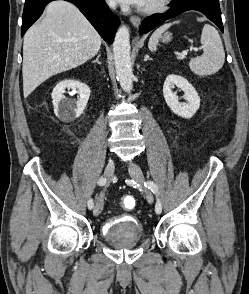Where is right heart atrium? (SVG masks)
<instances>
[{
  "label": "right heart atrium",
  "mask_w": 249,
  "mask_h": 294,
  "mask_svg": "<svg viewBox=\"0 0 249 294\" xmlns=\"http://www.w3.org/2000/svg\"><path fill=\"white\" fill-rule=\"evenodd\" d=\"M106 4H107L109 7H113V6H114V0H106Z\"/></svg>",
  "instance_id": "right-heart-atrium-1"
}]
</instances>
